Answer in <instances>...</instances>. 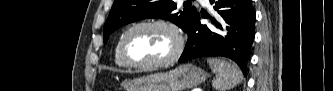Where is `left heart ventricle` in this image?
I'll return each instance as SVG.
<instances>
[{"label": "left heart ventricle", "instance_id": "obj_1", "mask_svg": "<svg viewBox=\"0 0 333 91\" xmlns=\"http://www.w3.org/2000/svg\"><path fill=\"white\" fill-rule=\"evenodd\" d=\"M174 35L163 27H145L135 31L128 41L130 58L139 63H152L168 58L174 48Z\"/></svg>", "mask_w": 333, "mask_h": 91}]
</instances>
